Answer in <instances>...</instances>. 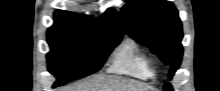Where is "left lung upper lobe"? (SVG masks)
Masks as SVG:
<instances>
[{"label": "left lung upper lobe", "instance_id": "left-lung-upper-lobe-1", "mask_svg": "<svg viewBox=\"0 0 220 91\" xmlns=\"http://www.w3.org/2000/svg\"><path fill=\"white\" fill-rule=\"evenodd\" d=\"M121 17L131 37L171 64L172 77L183 55L182 24L175 6L166 0H130L121 8ZM164 89L172 91L169 83Z\"/></svg>", "mask_w": 220, "mask_h": 91}]
</instances>
